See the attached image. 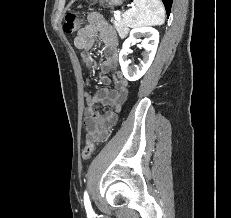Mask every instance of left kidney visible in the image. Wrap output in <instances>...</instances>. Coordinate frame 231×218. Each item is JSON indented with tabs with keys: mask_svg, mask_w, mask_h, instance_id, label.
Instances as JSON below:
<instances>
[{
	"mask_svg": "<svg viewBox=\"0 0 231 218\" xmlns=\"http://www.w3.org/2000/svg\"><path fill=\"white\" fill-rule=\"evenodd\" d=\"M141 36L146 37L142 40V47L145 49V53L140 65L133 68L129 66V48L131 44L139 41ZM158 43L159 32L153 27H137L131 30L130 36L124 41L122 50L119 53V63L126 79L135 81L146 73L155 57Z\"/></svg>",
	"mask_w": 231,
	"mask_h": 218,
	"instance_id": "left-kidney-1",
	"label": "left kidney"
}]
</instances>
